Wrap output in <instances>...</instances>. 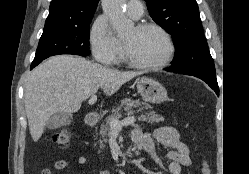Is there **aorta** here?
I'll use <instances>...</instances> for the list:
<instances>
[{
  "mask_svg": "<svg viewBox=\"0 0 249 174\" xmlns=\"http://www.w3.org/2000/svg\"><path fill=\"white\" fill-rule=\"evenodd\" d=\"M125 2L126 0H102L103 11L120 36L128 33L133 27V23L123 12V5Z\"/></svg>",
  "mask_w": 249,
  "mask_h": 174,
  "instance_id": "obj_1",
  "label": "aorta"
}]
</instances>
